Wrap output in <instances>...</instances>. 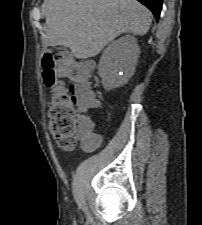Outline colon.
Listing matches in <instances>:
<instances>
[{"mask_svg":"<svg viewBox=\"0 0 202 225\" xmlns=\"http://www.w3.org/2000/svg\"><path fill=\"white\" fill-rule=\"evenodd\" d=\"M42 78L51 88L50 105L47 110L48 129L62 150H70L77 143L91 148L99 142L90 127L77 123L76 100L79 96L88 97L92 107L99 103L92 93L91 76L83 63L76 59H68L62 55L45 53L42 59ZM64 80L69 82L68 85Z\"/></svg>","mask_w":202,"mask_h":225,"instance_id":"1","label":"colon"}]
</instances>
